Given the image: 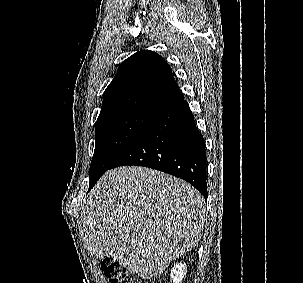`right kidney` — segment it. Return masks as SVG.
Segmentation results:
<instances>
[{
    "instance_id": "right-kidney-1",
    "label": "right kidney",
    "mask_w": 303,
    "mask_h": 283,
    "mask_svg": "<svg viewBox=\"0 0 303 283\" xmlns=\"http://www.w3.org/2000/svg\"><path fill=\"white\" fill-rule=\"evenodd\" d=\"M186 275V264L176 263L171 269V279L173 283H180Z\"/></svg>"
}]
</instances>
